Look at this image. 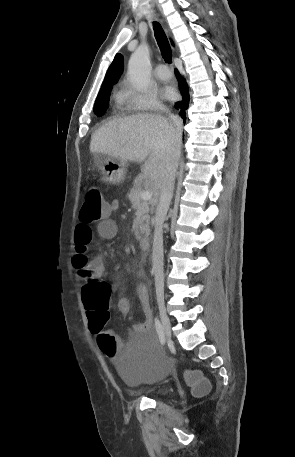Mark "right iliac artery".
<instances>
[{"label": "right iliac artery", "mask_w": 295, "mask_h": 457, "mask_svg": "<svg viewBox=\"0 0 295 457\" xmlns=\"http://www.w3.org/2000/svg\"><path fill=\"white\" fill-rule=\"evenodd\" d=\"M155 327H156V331H157L159 339H160V343L163 345L165 343V337H164L162 325L158 318H155Z\"/></svg>", "instance_id": "right-iliac-artery-1"}]
</instances>
